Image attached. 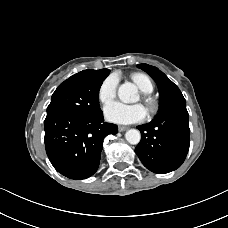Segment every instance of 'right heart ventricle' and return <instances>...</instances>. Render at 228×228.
Listing matches in <instances>:
<instances>
[{
    "label": "right heart ventricle",
    "mask_w": 228,
    "mask_h": 228,
    "mask_svg": "<svg viewBox=\"0 0 228 228\" xmlns=\"http://www.w3.org/2000/svg\"><path fill=\"white\" fill-rule=\"evenodd\" d=\"M131 79L144 94H150L153 92V83L145 74L133 73L131 75Z\"/></svg>",
    "instance_id": "right-heart-ventricle-1"
}]
</instances>
